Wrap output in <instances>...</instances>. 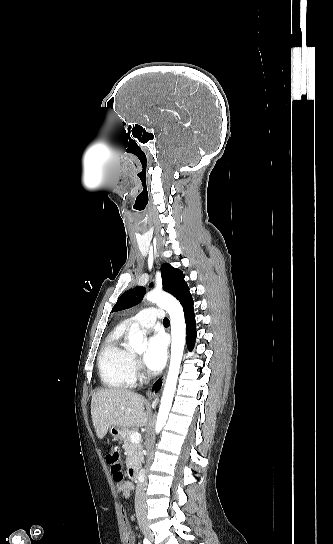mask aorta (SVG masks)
Listing matches in <instances>:
<instances>
[{"instance_id": "aorta-1", "label": "aorta", "mask_w": 333, "mask_h": 544, "mask_svg": "<svg viewBox=\"0 0 333 544\" xmlns=\"http://www.w3.org/2000/svg\"><path fill=\"white\" fill-rule=\"evenodd\" d=\"M145 298L150 302L156 303L160 308L165 309L169 313L171 320L172 343L170 365L155 427L156 432L159 433L166 424L172 407L184 352L186 325L182 306L170 294L159 290H152L146 294ZM129 345L135 351H144L146 346L143 342V332L138 329H132L129 334Z\"/></svg>"}]
</instances>
